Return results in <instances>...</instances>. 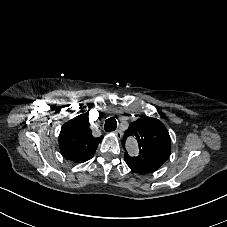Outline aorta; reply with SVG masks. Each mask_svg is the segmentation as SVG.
<instances>
[{
    "label": "aorta",
    "mask_w": 227,
    "mask_h": 227,
    "mask_svg": "<svg viewBox=\"0 0 227 227\" xmlns=\"http://www.w3.org/2000/svg\"><path fill=\"white\" fill-rule=\"evenodd\" d=\"M129 148H130L129 150H130L132 153H136V152H137V147H136V145H135L134 142L131 143V145H130Z\"/></svg>",
    "instance_id": "762f6f07"
}]
</instances>
